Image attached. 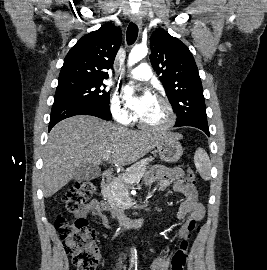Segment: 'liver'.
<instances>
[{
    "label": "liver",
    "instance_id": "obj_1",
    "mask_svg": "<svg viewBox=\"0 0 267 270\" xmlns=\"http://www.w3.org/2000/svg\"><path fill=\"white\" fill-rule=\"evenodd\" d=\"M174 133L130 130L93 116L79 115L59 122L44 149L41 173L43 194L51 197L74 177L82 164L99 165L104 157L126 166L145 156Z\"/></svg>",
    "mask_w": 267,
    "mask_h": 270
}]
</instances>
